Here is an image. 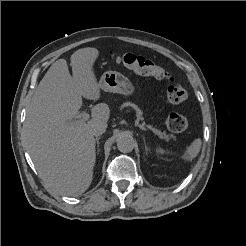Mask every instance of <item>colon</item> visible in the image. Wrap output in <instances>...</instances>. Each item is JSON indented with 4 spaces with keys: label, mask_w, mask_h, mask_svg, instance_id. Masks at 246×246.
Here are the masks:
<instances>
[{
    "label": "colon",
    "mask_w": 246,
    "mask_h": 246,
    "mask_svg": "<svg viewBox=\"0 0 246 246\" xmlns=\"http://www.w3.org/2000/svg\"><path fill=\"white\" fill-rule=\"evenodd\" d=\"M113 58L118 64H121L139 75L151 76L159 80L168 81L170 84L167 87L165 96L167 104H179L187 98L186 89L175 82L172 74L164 67L131 52L113 55ZM166 126L172 132L179 133L188 128L189 122L183 115L172 113L166 120Z\"/></svg>",
    "instance_id": "5ec220e1"
}]
</instances>
